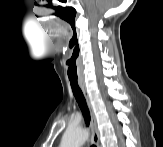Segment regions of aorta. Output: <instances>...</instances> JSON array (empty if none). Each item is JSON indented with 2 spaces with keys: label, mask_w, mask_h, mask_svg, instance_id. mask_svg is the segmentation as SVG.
Here are the masks:
<instances>
[{
  "label": "aorta",
  "mask_w": 163,
  "mask_h": 147,
  "mask_svg": "<svg viewBox=\"0 0 163 147\" xmlns=\"http://www.w3.org/2000/svg\"><path fill=\"white\" fill-rule=\"evenodd\" d=\"M88 138L85 129L80 127H69L61 140V147H81Z\"/></svg>",
  "instance_id": "aorta-1"
}]
</instances>
